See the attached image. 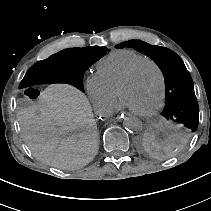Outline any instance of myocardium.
I'll return each mask as SVG.
<instances>
[{
  "label": "myocardium",
  "instance_id": "obj_1",
  "mask_svg": "<svg viewBox=\"0 0 211 211\" xmlns=\"http://www.w3.org/2000/svg\"><path fill=\"white\" fill-rule=\"evenodd\" d=\"M150 64L155 67V69L158 72L159 75V80H160V95L157 104L155 107L148 111V112H136V111H131L134 115L142 118H150L157 114V112L161 109L163 102H164V97H165V76L162 68L160 65L152 60V59H144L143 61L139 62L136 64L134 67H132L118 82L116 86V96L120 101H122V90L124 86L133 78V76L138 72V70L143 67L144 65Z\"/></svg>",
  "mask_w": 211,
  "mask_h": 211
}]
</instances>
